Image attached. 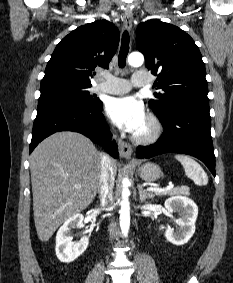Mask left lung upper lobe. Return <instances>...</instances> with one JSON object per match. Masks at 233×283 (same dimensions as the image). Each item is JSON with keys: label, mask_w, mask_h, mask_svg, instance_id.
I'll use <instances>...</instances> for the list:
<instances>
[{"label": "left lung upper lobe", "mask_w": 233, "mask_h": 283, "mask_svg": "<svg viewBox=\"0 0 233 283\" xmlns=\"http://www.w3.org/2000/svg\"><path fill=\"white\" fill-rule=\"evenodd\" d=\"M137 49L158 77L155 86L162 92L149 101L158 117L182 104L209 105L205 65L186 32L158 19L147 20L137 28Z\"/></svg>", "instance_id": "obj_1"}]
</instances>
